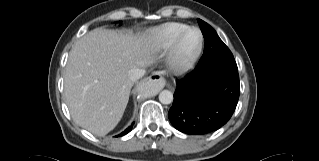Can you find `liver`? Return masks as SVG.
<instances>
[{"label":"liver","instance_id":"obj_1","mask_svg":"<svg viewBox=\"0 0 319 161\" xmlns=\"http://www.w3.org/2000/svg\"><path fill=\"white\" fill-rule=\"evenodd\" d=\"M157 48L147 35L94 29L69 53L64 96L73 120L89 132L104 136L121 120L133 81L129 71L146 68Z\"/></svg>","mask_w":319,"mask_h":161}]
</instances>
